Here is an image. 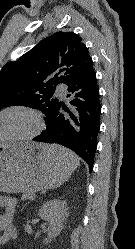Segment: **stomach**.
<instances>
[{"instance_id": "stomach-1", "label": "stomach", "mask_w": 135, "mask_h": 249, "mask_svg": "<svg viewBox=\"0 0 135 249\" xmlns=\"http://www.w3.org/2000/svg\"><path fill=\"white\" fill-rule=\"evenodd\" d=\"M59 146L39 143L0 145V191L26 193L55 188L75 169Z\"/></svg>"}]
</instances>
